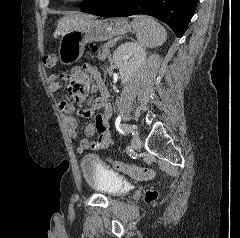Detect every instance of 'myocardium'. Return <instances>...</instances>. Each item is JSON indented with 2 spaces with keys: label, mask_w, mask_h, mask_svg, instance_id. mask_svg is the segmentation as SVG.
<instances>
[{
  "label": "myocardium",
  "mask_w": 240,
  "mask_h": 238,
  "mask_svg": "<svg viewBox=\"0 0 240 238\" xmlns=\"http://www.w3.org/2000/svg\"><path fill=\"white\" fill-rule=\"evenodd\" d=\"M66 1H85V0H66Z\"/></svg>",
  "instance_id": "obj_1"
}]
</instances>
